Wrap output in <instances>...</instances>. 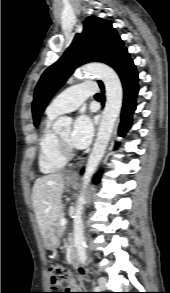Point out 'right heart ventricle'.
Returning a JSON list of instances; mask_svg holds the SVG:
<instances>
[{
  "label": "right heart ventricle",
  "mask_w": 170,
  "mask_h": 293,
  "mask_svg": "<svg viewBox=\"0 0 170 293\" xmlns=\"http://www.w3.org/2000/svg\"><path fill=\"white\" fill-rule=\"evenodd\" d=\"M58 115H51L46 112L38 141V166L42 173L48 174L61 170L67 159L59 154L56 147L55 132L52 129V122Z\"/></svg>",
  "instance_id": "obj_1"
}]
</instances>
